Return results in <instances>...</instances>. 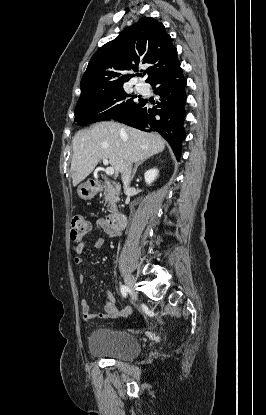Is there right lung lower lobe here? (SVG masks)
Masks as SVG:
<instances>
[{
  "label": "right lung lower lobe",
  "instance_id": "right-lung-lower-lobe-1",
  "mask_svg": "<svg viewBox=\"0 0 266 415\" xmlns=\"http://www.w3.org/2000/svg\"><path fill=\"white\" fill-rule=\"evenodd\" d=\"M186 79L180 65L172 71L154 78L150 84L159 100L150 107L147 99L141 100L127 111L112 118L146 132H157L168 141L177 158L185 139L184 120L187 95Z\"/></svg>",
  "mask_w": 266,
  "mask_h": 415
}]
</instances>
